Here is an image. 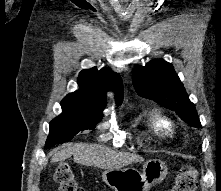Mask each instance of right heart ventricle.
<instances>
[{
	"label": "right heart ventricle",
	"instance_id": "right-heart-ventricle-1",
	"mask_svg": "<svg viewBox=\"0 0 221 191\" xmlns=\"http://www.w3.org/2000/svg\"><path fill=\"white\" fill-rule=\"evenodd\" d=\"M148 125L156 135L162 138H173L177 130L173 118L159 109H154L149 113Z\"/></svg>",
	"mask_w": 221,
	"mask_h": 191
}]
</instances>
